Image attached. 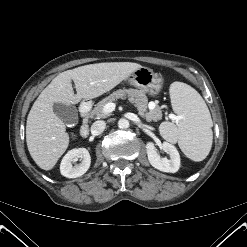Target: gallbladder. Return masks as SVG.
Wrapping results in <instances>:
<instances>
[{"label": "gallbladder", "mask_w": 247, "mask_h": 247, "mask_svg": "<svg viewBox=\"0 0 247 247\" xmlns=\"http://www.w3.org/2000/svg\"><path fill=\"white\" fill-rule=\"evenodd\" d=\"M53 112L67 125H75L78 123V111L73 105L54 103Z\"/></svg>", "instance_id": "1"}]
</instances>
